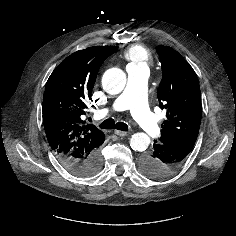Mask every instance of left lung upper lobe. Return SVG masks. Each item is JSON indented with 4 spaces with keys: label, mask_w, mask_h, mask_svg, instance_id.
<instances>
[{
    "label": "left lung upper lobe",
    "mask_w": 236,
    "mask_h": 236,
    "mask_svg": "<svg viewBox=\"0 0 236 236\" xmlns=\"http://www.w3.org/2000/svg\"><path fill=\"white\" fill-rule=\"evenodd\" d=\"M162 80L157 90L159 107L167 111L159 143L196 141L202 116L198 78L188 62L171 47L159 45Z\"/></svg>",
    "instance_id": "left-lung-upper-lobe-1"
}]
</instances>
